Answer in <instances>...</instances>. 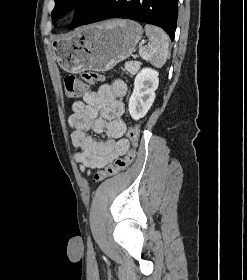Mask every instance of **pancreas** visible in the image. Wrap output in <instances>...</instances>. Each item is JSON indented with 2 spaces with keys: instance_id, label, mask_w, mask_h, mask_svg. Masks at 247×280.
Listing matches in <instances>:
<instances>
[{
  "instance_id": "obj_1",
  "label": "pancreas",
  "mask_w": 247,
  "mask_h": 280,
  "mask_svg": "<svg viewBox=\"0 0 247 280\" xmlns=\"http://www.w3.org/2000/svg\"><path fill=\"white\" fill-rule=\"evenodd\" d=\"M140 62L138 61H130V62H127L125 64V67H124V71H126L127 73H129L131 76L135 75L138 71H139V68H140Z\"/></svg>"
}]
</instances>
